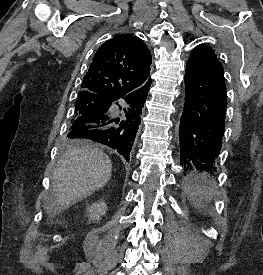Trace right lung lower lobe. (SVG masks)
Instances as JSON below:
<instances>
[{
  "label": "right lung lower lobe",
  "instance_id": "obj_1",
  "mask_svg": "<svg viewBox=\"0 0 263 275\" xmlns=\"http://www.w3.org/2000/svg\"><path fill=\"white\" fill-rule=\"evenodd\" d=\"M151 82L140 90L124 97L108 101V108L101 112L85 113L71 122L68 131L70 139H89L117 150L127 161L140 125L141 109L146 101ZM122 98L128 104L123 120L113 119L108 112L112 102ZM121 108V107H120Z\"/></svg>",
  "mask_w": 263,
  "mask_h": 275
}]
</instances>
